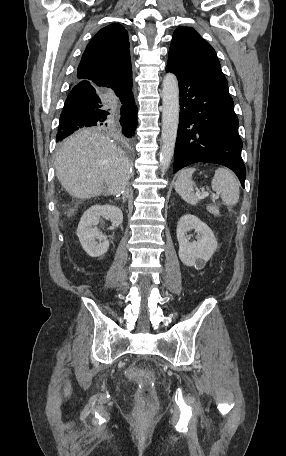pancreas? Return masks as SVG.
I'll return each instance as SVG.
<instances>
[{
	"label": "pancreas",
	"mask_w": 286,
	"mask_h": 456,
	"mask_svg": "<svg viewBox=\"0 0 286 456\" xmlns=\"http://www.w3.org/2000/svg\"><path fill=\"white\" fill-rule=\"evenodd\" d=\"M207 209L211 214H213L215 216H219V209L217 206L211 205V206H208Z\"/></svg>",
	"instance_id": "pancreas-1"
}]
</instances>
